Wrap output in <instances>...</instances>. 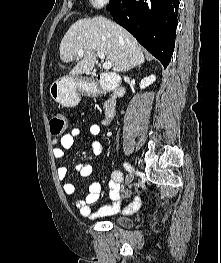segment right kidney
Instances as JSON below:
<instances>
[{
	"label": "right kidney",
	"instance_id": "obj_1",
	"mask_svg": "<svg viewBox=\"0 0 221 263\" xmlns=\"http://www.w3.org/2000/svg\"><path fill=\"white\" fill-rule=\"evenodd\" d=\"M156 80L155 75H150L149 77H145L140 82V88L145 89L149 85H151Z\"/></svg>",
	"mask_w": 221,
	"mask_h": 263
}]
</instances>
